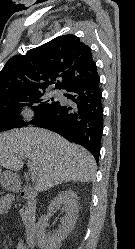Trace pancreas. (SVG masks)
<instances>
[{"instance_id": "pancreas-1", "label": "pancreas", "mask_w": 135, "mask_h": 249, "mask_svg": "<svg viewBox=\"0 0 135 249\" xmlns=\"http://www.w3.org/2000/svg\"><path fill=\"white\" fill-rule=\"evenodd\" d=\"M29 211H30V206L28 205V207H23L20 211L21 213V217L23 219L24 222L27 221V216L29 214Z\"/></svg>"}]
</instances>
